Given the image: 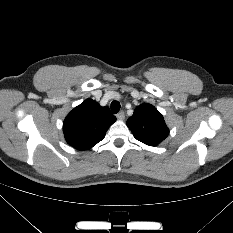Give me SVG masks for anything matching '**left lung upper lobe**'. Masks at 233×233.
<instances>
[{
	"label": "left lung upper lobe",
	"mask_w": 233,
	"mask_h": 233,
	"mask_svg": "<svg viewBox=\"0 0 233 233\" xmlns=\"http://www.w3.org/2000/svg\"><path fill=\"white\" fill-rule=\"evenodd\" d=\"M126 124L137 140L149 146L158 145L169 134L162 114L147 103L137 106Z\"/></svg>",
	"instance_id": "5c2ea615"
}]
</instances>
